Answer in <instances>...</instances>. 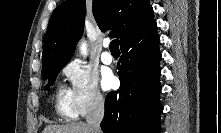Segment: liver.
<instances>
[{
	"label": "liver",
	"instance_id": "6515ba94",
	"mask_svg": "<svg viewBox=\"0 0 221 133\" xmlns=\"http://www.w3.org/2000/svg\"><path fill=\"white\" fill-rule=\"evenodd\" d=\"M43 133H91V129L86 123L78 122L67 125H48Z\"/></svg>",
	"mask_w": 221,
	"mask_h": 133
}]
</instances>
